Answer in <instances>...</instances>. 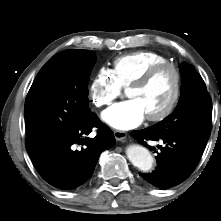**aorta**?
<instances>
[{
  "label": "aorta",
  "mask_w": 221,
  "mask_h": 221,
  "mask_svg": "<svg viewBox=\"0 0 221 221\" xmlns=\"http://www.w3.org/2000/svg\"><path fill=\"white\" fill-rule=\"evenodd\" d=\"M126 155L130 162L141 171L151 170L154 159L148 149L141 145H129L126 149Z\"/></svg>",
  "instance_id": "1"
}]
</instances>
